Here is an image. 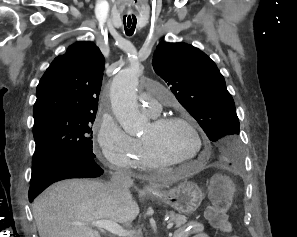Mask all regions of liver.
Returning a JSON list of instances; mask_svg holds the SVG:
<instances>
[{
    "mask_svg": "<svg viewBox=\"0 0 297 237\" xmlns=\"http://www.w3.org/2000/svg\"><path fill=\"white\" fill-rule=\"evenodd\" d=\"M40 237H101L89 225L108 220L131 223L140 209L132 195L117 197L110 183L69 179L50 186L32 205Z\"/></svg>",
    "mask_w": 297,
    "mask_h": 237,
    "instance_id": "1",
    "label": "liver"
}]
</instances>
